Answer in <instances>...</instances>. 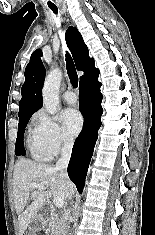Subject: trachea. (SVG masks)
<instances>
[{
    "label": "trachea",
    "instance_id": "obj_1",
    "mask_svg": "<svg viewBox=\"0 0 155 235\" xmlns=\"http://www.w3.org/2000/svg\"><path fill=\"white\" fill-rule=\"evenodd\" d=\"M50 9L57 14L58 9L50 7ZM66 67H67V73L69 75L70 82L74 88L78 86V75L74 66V62L71 58V56L67 53L66 54Z\"/></svg>",
    "mask_w": 155,
    "mask_h": 235
}]
</instances>
